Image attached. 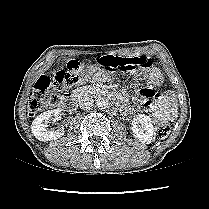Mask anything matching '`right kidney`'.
<instances>
[{
    "instance_id": "right-kidney-1",
    "label": "right kidney",
    "mask_w": 209,
    "mask_h": 209,
    "mask_svg": "<svg viewBox=\"0 0 209 209\" xmlns=\"http://www.w3.org/2000/svg\"><path fill=\"white\" fill-rule=\"evenodd\" d=\"M61 115L60 109L48 110L39 116H37L32 122L31 129L36 139L39 141H51L56 140L64 135L63 129L48 130V122L54 117Z\"/></svg>"
}]
</instances>
